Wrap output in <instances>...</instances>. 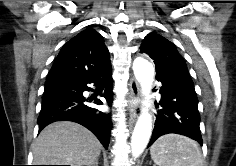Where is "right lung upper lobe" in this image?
<instances>
[{
  "label": "right lung upper lobe",
  "instance_id": "cb5924a9",
  "mask_svg": "<svg viewBox=\"0 0 236 166\" xmlns=\"http://www.w3.org/2000/svg\"><path fill=\"white\" fill-rule=\"evenodd\" d=\"M111 66L103 37L88 28L68 41L58 54L47 79L61 76H91Z\"/></svg>",
  "mask_w": 236,
  "mask_h": 166
}]
</instances>
